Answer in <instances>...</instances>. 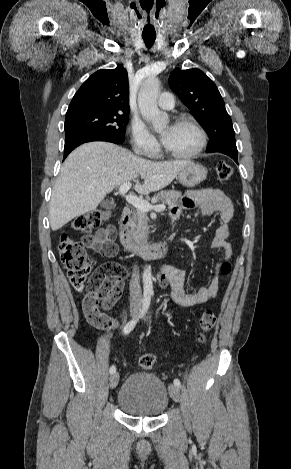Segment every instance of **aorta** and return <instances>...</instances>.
<instances>
[{
  "label": "aorta",
  "mask_w": 291,
  "mask_h": 469,
  "mask_svg": "<svg viewBox=\"0 0 291 469\" xmlns=\"http://www.w3.org/2000/svg\"><path fill=\"white\" fill-rule=\"evenodd\" d=\"M160 81L157 77L146 79L141 85L138 94V106L142 117L151 122L155 130H160L169 122L166 113L161 112L157 105ZM143 290L145 294H153V282L150 268L146 266L142 275Z\"/></svg>",
  "instance_id": "obj_1"
}]
</instances>
